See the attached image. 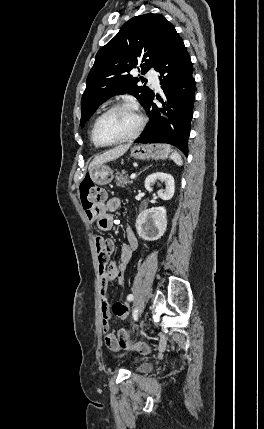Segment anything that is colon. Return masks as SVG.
<instances>
[{
	"label": "colon",
	"mask_w": 264,
	"mask_h": 429,
	"mask_svg": "<svg viewBox=\"0 0 264 429\" xmlns=\"http://www.w3.org/2000/svg\"><path fill=\"white\" fill-rule=\"evenodd\" d=\"M80 198L85 211L92 214L97 207L104 203L106 199L105 191L96 186L90 179H85L80 184ZM113 314L121 320H128L129 308L122 302H115L112 305ZM120 345L123 349L141 350L145 344L138 340H130L124 333L119 334Z\"/></svg>",
	"instance_id": "colon-1"
}]
</instances>
